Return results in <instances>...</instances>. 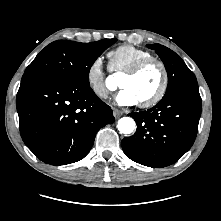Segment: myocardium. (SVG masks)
I'll return each instance as SVG.
<instances>
[{"label":"myocardium","mask_w":221,"mask_h":221,"mask_svg":"<svg viewBox=\"0 0 221 221\" xmlns=\"http://www.w3.org/2000/svg\"><path fill=\"white\" fill-rule=\"evenodd\" d=\"M152 63H155L160 67L162 79L161 84L154 95L147 100L139 102V105L144 108L152 107L158 104L165 96L169 86V74L166 64L158 57L149 56L137 61L135 64L126 69L122 74V76L128 77L135 76Z\"/></svg>","instance_id":"obj_1"}]
</instances>
